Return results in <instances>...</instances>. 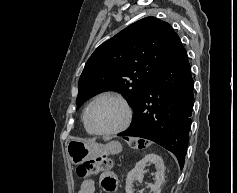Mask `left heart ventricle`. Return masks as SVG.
Instances as JSON below:
<instances>
[{"label": "left heart ventricle", "mask_w": 237, "mask_h": 193, "mask_svg": "<svg viewBox=\"0 0 237 193\" xmlns=\"http://www.w3.org/2000/svg\"><path fill=\"white\" fill-rule=\"evenodd\" d=\"M125 118V111L116 100L105 98L94 104L90 121L98 130H112L119 127Z\"/></svg>", "instance_id": "obj_1"}]
</instances>
